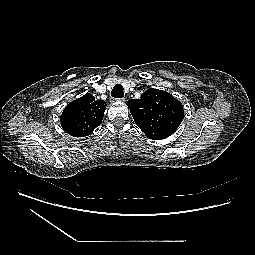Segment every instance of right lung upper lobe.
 <instances>
[{
	"instance_id": "obj_1",
	"label": "right lung upper lobe",
	"mask_w": 255,
	"mask_h": 255,
	"mask_svg": "<svg viewBox=\"0 0 255 255\" xmlns=\"http://www.w3.org/2000/svg\"><path fill=\"white\" fill-rule=\"evenodd\" d=\"M106 106L87 93L65 107L60 118L62 128L75 137L90 135L101 124Z\"/></svg>"
}]
</instances>
